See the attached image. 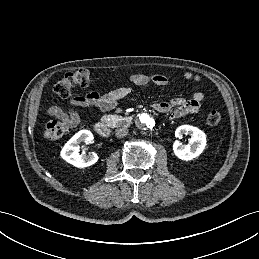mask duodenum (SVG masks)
Returning <instances> with one entry per match:
<instances>
[{
  "label": "duodenum",
  "mask_w": 259,
  "mask_h": 259,
  "mask_svg": "<svg viewBox=\"0 0 259 259\" xmlns=\"http://www.w3.org/2000/svg\"><path fill=\"white\" fill-rule=\"evenodd\" d=\"M122 121L126 124H130L133 121V118L125 117ZM93 129L101 137H108L110 134L108 125L102 121L95 122L93 125Z\"/></svg>",
  "instance_id": "410a0bca"
}]
</instances>
